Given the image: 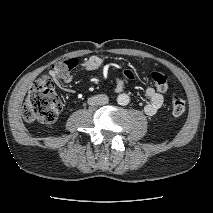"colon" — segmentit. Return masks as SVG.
I'll use <instances>...</instances> for the list:
<instances>
[{
    "mask_svg": "<svg viewBox=\"0 0 213 213\" xmlns=\"http://www.w3.org/2000/svg\"><path fill=\"white\" fill-rule=\"evenodd\" d=\"M77 62L75 58L60 61L53 65V72L56 76H64L77 66ZM151 78L159 91L167 90L169 80L165 73L154 71ZM170 105L175 116L185 112V101L177 94L170 97ZM61 110L62 103L54 90L52 81L48 77H40L29 90L23 105L22 116L27 122L49 124L58 118Z\"/></svg>",
    "mask_w": 213,
    "mask_h": 213,
    "instance_id": "1",
    "label": "colon"
}]
</instances>
